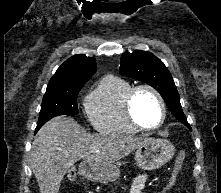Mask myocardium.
<instances>
[{
    "instance_id": "obj_1",
    "label": "myocardium",
    "mask_w": 221,
    "mask_h": 193,
    "mask_svg": "<svg viewBox=\"0 0 221 193\" xmlns=\"http://www.w3.org/2000/svg\"><path fill=\"white\" fill-rule=\"evenodd\" d=\"M142 90H147L151 92L152 94H154V96L158 99L160 103L161 119L156 126H153V127L143 126L134 118L133 102L137 93ZM124 109H125V114L129 122L138 130L145 131V132H153V131L160 129L164 125L166 121V117H167V105L162 94L155 87L149 84H139V85L132 87L126 95V98L124 101Z\"/></svg>"
}]
</instances>
